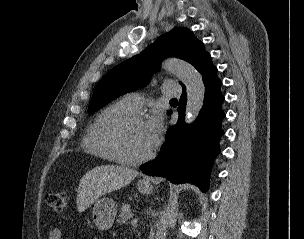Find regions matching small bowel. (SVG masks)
I'll return each instance as SVG.
<instances>
[{"mask_svg": "<svg viewBox=\"0 0 304 239\" xmlns=\"http://www.w3.org/2000/svg\"><path fill=\"white\" fill-rule=\"evenodd\" d=\"M63 233L60 228H54L49 233V239H62Z\"/></svg>", "mask_w": 304, "mask_h": 239, "instance_id": "1", "label": "small bowel"}]
</instances>
